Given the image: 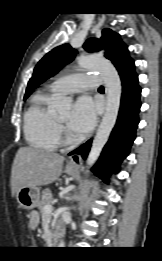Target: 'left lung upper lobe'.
Segmentation results:
<instances>
[{
    "label": "left lung upper lobe",
    "mask_w": 162,
    "mask_h": 261,
    "mask_svg": "<svg viewBox=\"0 0 162 261\" xmlns=\"http://www.w3.org/2000/svg\"><path fill=\"white\" fill-rule=\"evenodd\" d=\"M84 48L88 51L105 50L104 56L109 59L119 71L133 60L128 56L127 46L120 40V36L110 29H104L100 39L90 38ZM77 51L69 44H63L47 53L36 65L34 73L28 82L24 100L34 88L46 79L55 75L61 67L73 60Z\"/></svg>",
    "instance_id": "1"
}]
</instances>
